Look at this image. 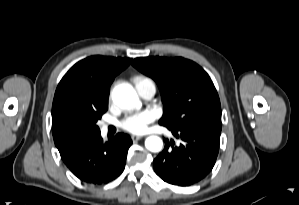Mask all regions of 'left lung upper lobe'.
Returning a JSON list of instances; mask_svg holds the SVG:
<instances>
[{
	"instance_id": "left-lung-upper-lobe-1",
	"label": "left lung upper lobe",
	"mask_w": 299,
	"mask_h": 205,
	"mask_svg": "<svg viewBox=\"0 0 299 205\" xmlns=\"http://www.w3.org/2000/svg\"><path fill=\"white\" fill-rule=\"evenodd\" d=\"M132 65L158 84L168 128L221 121L219 96L209 75L195 62L177 58H136Z\"/></svg>"
}]
</instances>
